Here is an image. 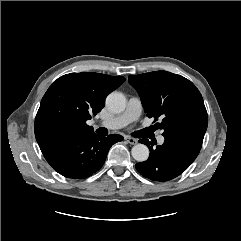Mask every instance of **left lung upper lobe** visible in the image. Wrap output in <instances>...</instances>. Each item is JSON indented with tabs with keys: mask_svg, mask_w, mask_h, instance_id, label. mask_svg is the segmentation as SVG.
Returning <instances> with one entry per match:
<instances>
[{
	"mask_svg": "<svg viewBox=\"0 0 241 241\" xmlns=\"http://www.w3.org/2000/svg\"><path fill=\"white\" fill-rule=\"evenodd\" d=\"M129 83L137 90L145 112L154 117L163 136L202 134L208 125L203 98L196 86L183 76L167 71L130 75Z\"/></svg>",
	"mask_w": 241,
	"mask_h": 241,
	"instance_id": "1",
	"label": "left lung upper lobe"
}]
</instances>
